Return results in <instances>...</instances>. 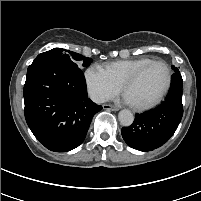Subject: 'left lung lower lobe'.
<instances>
[{
    "label": "left lung lower lobe",
    "mask_w": 201,
    "mask_h": 201,
    "mask_svg": "<svg viewBox=\"0 0 201 201\" xmlns=\"http://www.w3.org/2000/svg\"><path fill=\"white\" fill-rule=\"evenodd\" d=\"M174 74L165 100L151 111L136 114L129 127L121 130L124 141L139 151H152L165 144L176 131L183 116L182 76L172 66Z\"/></svg>",
    "instance_id": "obj_1"
}]
</instances>
